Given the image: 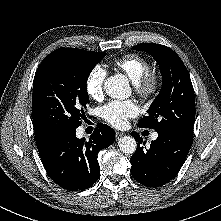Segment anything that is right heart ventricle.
<instances>
[{
  "instance_id": "1",
  "label": "right heart ventricle",
  "mask_w": 221,
  "mask_h": 221,
  "mask_svg": "<svg viewBox=\"0 0 221 221\" xmlns=\"http://www.w3.org/2000/svg\"><path fill=\"white\" fill-rule=\"evenodd\" d=\"M114 66L122 70L134 83L151 69L150 61L136 53L125 54L113 62Z\"/></svg>"
}]
</instances>
